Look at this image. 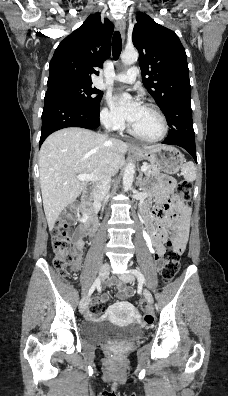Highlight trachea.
<instances>
[{
  "mask_svg": "<svg viewBox=\"0 0 228 396\" xmlns=\"http://www.w3.org/2000/svg\"><path fill=\"white\" fill-rule=\"evenodd\" d=\"M122 50V41L119 31H115L112 39V53L113 59L118 60Z\"/></svg>",
  "mask_w": 228,
  "mask_h": 396,
  "instance_id": "1",
  "label": "trachea"
}]
</instances>
